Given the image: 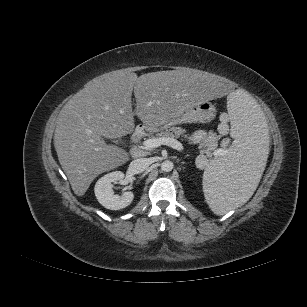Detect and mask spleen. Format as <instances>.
Listing matches in <instances>:
<instances>
[{
    "label": "spleen",
    "mask_w": 307,
    "mask_h": 307,
    "mask_svg": "<svg viewBox=\"0 0 307 307\" xmlns=\"http://www.w3.org/2000/svg\"><path fill=\"white\" fill-rule=\"evenodd\" d=\"M227 104L235 141L223 157L210 162L202 182L205 199L217 215L249 200L270 152V133L257 103L244 92L235 91Z\"/></svg>",
    "instance_id": "spleen-1"
}]
</instances>
